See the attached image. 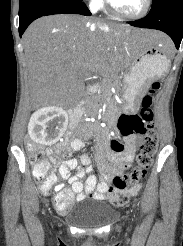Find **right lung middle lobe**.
I'll list each match as a JSON object with an SVG mask.
<instances>
[{"label": "right lung middle lobe", "mask_w": 183, "mask_h": 246, "mask_svg": "<svg viewBox=\"0 0 183 246\" xmlns=\"http://www.w3.org/2000/svg\"><path fill=\"white\" fill-rule=\"evenodd\" d=\"M23 1H29V0H20V2H23Z\"/></svg>", "instance_id": "right-lung-middle-lobe-1"}]
</instances>
